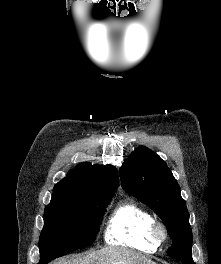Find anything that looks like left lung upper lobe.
<instances>
[{"instance_id":"obj_1","label":"left lung upper lobe","mask_w":221,"mask_h":264,"mask_svg":"<svg viewBox=\"0 0 221 264\" xmlns=\"http://www.w3.org/2000/svg\"><path fill=\"white\" fill-rule=\"evenodd\" d=\"M119 173L123 189L148 205L166 225L173 242L167 254L180 261L192 259L189 213L166 163L142 146L132 152Z\"/></svg>"}]
</instances>
